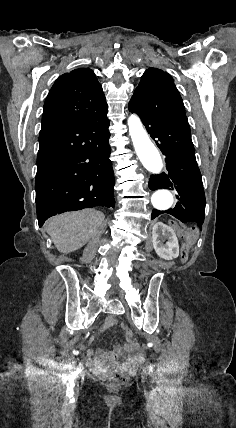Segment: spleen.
<instances>
[{
    "label": "spleen",
    "instance_id": "spleen-1",
    "mask_svg": "<svg viewBox=\"0 0 236 428\" xmlns=\"http://www.w3.org/2000/svg\"><path fill=\"white\" fill-rule=\"evenodd\" d=\"M188 240H192V238H188ZM192 242H193V240H192Z\"/></svg>",
    "mask_w": 236,
    "mask_h": 428
}]
</instances>
